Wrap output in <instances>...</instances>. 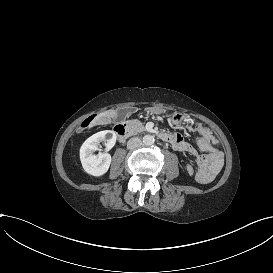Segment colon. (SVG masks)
<instances>
[{"mask_svg": "<svg viewBox=\"0 0 273 273\" xmlns=\"http://www.w3.org/2000/svg\"><path fill=\"white\" fill-rule=\"evenodd\" d=\"M201 171L198 175V180L203 185H208L212 182L213 177L220 171V166L210 157H205L200 162Z\"/></svg>", "mask_w": 273, "mask_h": 273, "instance_id": "colon-1", "label": "colon"}]
</instances>
